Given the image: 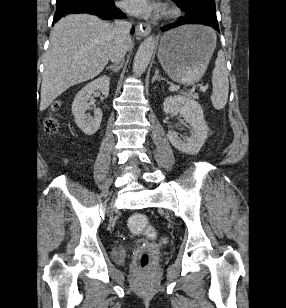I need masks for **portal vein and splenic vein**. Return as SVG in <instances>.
I'll return each mask as SVG.
<instances>
[{
	"mask_svg": "<svg viewBox=\"0 0 286 308\" xmlns=\"http://www.w3.org/2000/svg\"><path fill=\"white\" fill-rule=\"evenodd\" d=\"M179 85H172L169 89L170 90H176V89H179ZM208 88V86L206 85V86H201V89L202 90H206Z\"/></svg>",
	"mask_w": 286,
	"mask_h": 308,
	"instance_id": "1",
	"label": "portal vein and splenic vein"
}]
</instances>
